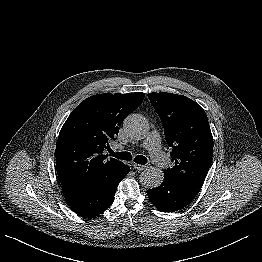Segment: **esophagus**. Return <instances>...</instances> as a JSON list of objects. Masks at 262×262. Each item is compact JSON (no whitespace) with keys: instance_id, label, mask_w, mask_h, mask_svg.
I'll return each mask as SVG.
<instances>
[{"instance_id":"obj_1","label":"esophagus","mask_w":262,"mask_h":262,"mask_svg":"<svg viewBox=\"0 0 262 262\" xmlns=\"http://www.w3.org/2000/svg\"><path fill=\"white\" fill-rule=\"evenodd\" d=\"M133 167H134L135 169H137V170H145V169L151 168V165H149V164L140 165V164L134 163V164H133Z\"/></svg>"}]
</instances>
